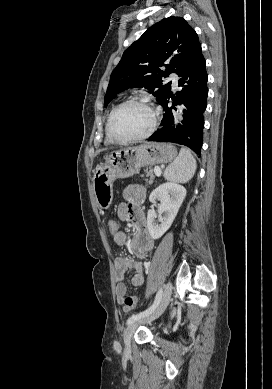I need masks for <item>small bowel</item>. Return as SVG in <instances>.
I'll return each instance as SVG.
<instances>
[{"mask_svg": "<svg viewBox=\"0 0 272 389\" xmlns=\"http://www.w3.org/2000/svg\"><path fill=\"white\" fill-rule=\"evenodd\" d=\"M125 201L117 208V215L121 221H130L133 227V237L130 241V250L138 259H146L153 249V239L151 238L146 225L145 216L141 210V205L145 200L146 191L142 186L130 185L124 190ZM117 245L128 243L125 231L120 230L114 236ZM116 269V300L119 304H124L127 287L124 283V275L128 271L133 272L131 283L134 286H141L145 280V271L140 261L127 256H119L114 261ZM125 310H130L124 307Z\"/></svg>", "mask_w": 272, "mask_h": 389, "instance_id": "small-bowel-1", "label": "small bowel"}]
</instances>
